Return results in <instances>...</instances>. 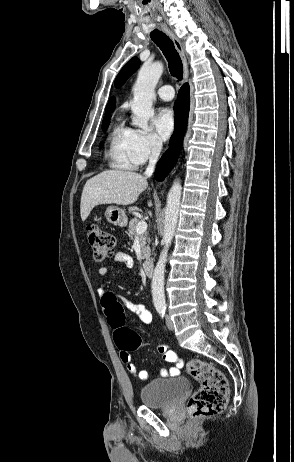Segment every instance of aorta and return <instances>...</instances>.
Masks as SVG:
<instances>
[{"label": "aorta", "mask_w": 294, "mask_h": 462, "mask_svg": "<svg viewBox=\"0 0 294 462\" xmlns=\"http://www.w3.org/2000/svg\"><path fill=\"white\" fill-rule=\"evenodd\" d=\"M163 73V64L154 62L151 65H143L138 73L136 83L133 87L134 99L131 110L134 114L132 124L144 131H149L148 121L154 115L152 108L155 98L154 89ZM182 186L179 180L174 181L167 195L165 208V222L163 234V249L155 266L151 290L153 303L156 308L165 307L164 274L168 250L174 237L178 222Z\"/></svg>", "instance_id": "1"}]
</instances>
